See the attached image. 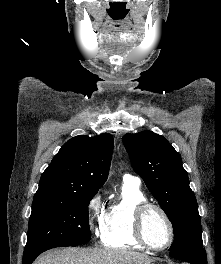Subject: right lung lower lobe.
<instances>
[{
    "mask_svg": "<svg viewBox=\"0 0 221 264\" xmlns=\"http://www.w3.org/2000/svg\"><path fill=\"white\" fill-rule=\"evenodd\" d=\"M41 253H37L34 255H30L28 257L23 258V263L22 264H31Z\"/></svg>",
    "mask_w": 221,
    "mask_h": 264,
    "instance_id": "98d812e1",
    "label": "right lung lower lobe"
}]
</instances>
